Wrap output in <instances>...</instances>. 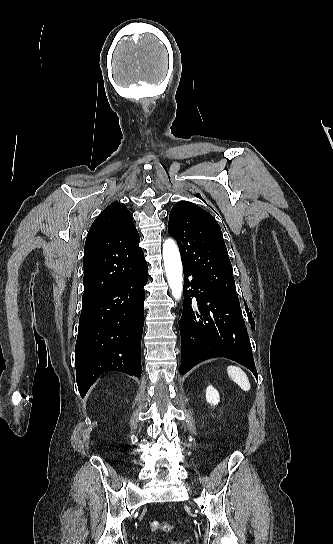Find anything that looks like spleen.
Wrapping results in <instances>:
<instances>
[{"mask_svg":"<svg viewBox=\"0 0 333 544\" xmlns=\"http://www.w3.org/2000/svg\"><path fill=\"white\" fill-rule=\"evenodd\" d=\"M228 376L233 380L243 391H249L251 386L246 373L237 366H228Z\"/></svg>","mask_w":333,"mask_h":544,"instance_id":"1","label":"spleen"}]
</instances>
